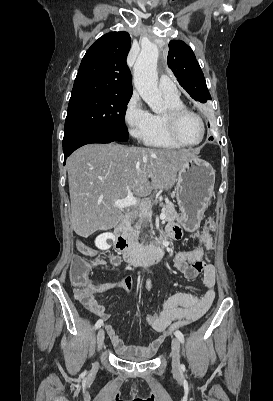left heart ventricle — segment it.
I'll return each instance as SVG.
<instances>
[{
	"instance_id": "b2bd125f",
	"label": "left heart ventricle",
	"mask_w": 273,
	"mask_h": 401,
	"mask_svg": "<svg viewBox=\"0 0 273 401\" xmlns=\"http://www.w3.org/2000/svg\"><path fill=\"white\" fill-rule=\"evenodd\" d=\"M177 132L180 138L188 143H194L202 138V126L196 116L185 114L177 124Z\"/></svg>"
}]
</instances>
